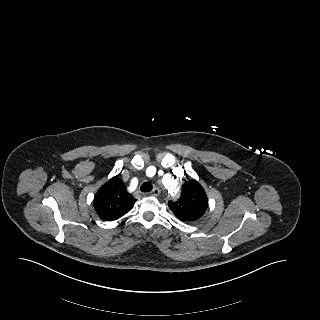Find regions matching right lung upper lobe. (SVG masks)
Wrapping results in <instances>:
<instances>
[{
	"label": "right lung upper lobe",
	"mask_w": 320,
	"mask_h": 320,
	"mask_svg": "<svg viewBox=\"0 0 320 320\" xmlns=\"http://www.w3.org/2000/svg\"><path fill=\"white\" fill-rule=\"evenodd\" d=\"M135 199L127 192L118 176L112 177L94 196V207L102 220H117L134 206Z\"/></svg>",
	"instance_id": "cb5924a9"
}]
</instances>
